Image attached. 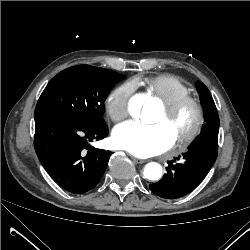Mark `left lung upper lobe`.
Wrapping results in <instances>:
<instances>
[{
  "instance_id": "left-lung-upper-lobe-1",
  "label": "left lung upper lobe",
  "mask_w": 250,
  "mask_h": 250,
  "mask_svg": "<svg viewBox=\"0 0 250 250\" xmlns=\"http://www.w3.org/2000/svg\"><path fill=\"white\" fill-rule=\"evenodd\" d=\"M197 91L199 93L201 105L204 109V115L206 121L202 129V133L212 130H218L219 128L218 112L208 88L202 83H197Z\"/></svg>"
}]
</instances>
